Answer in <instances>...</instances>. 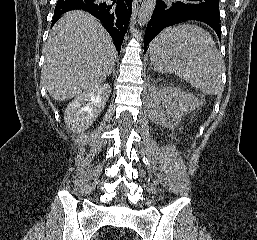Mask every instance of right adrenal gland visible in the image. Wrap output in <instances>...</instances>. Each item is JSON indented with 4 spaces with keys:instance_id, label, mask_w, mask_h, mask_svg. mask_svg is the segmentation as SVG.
Segmentation results:
<instances>
[{
    "instance_id": "2a0ac1e0",
    "label": "right adrenal gland",
    "mask_w": 257,
    "mask_h": 240,
    "mask_svg": "<svg viewBox=\"0 0 257 240\" xmlns=\"http://www.w3.org/2000/svg\"><path fill=\"white\" fill-rule=\"evenodd\" d=\"M111 73L113 74V76H115V68H113V70L111 71Z\"/></svg>"
}]
</instances>
